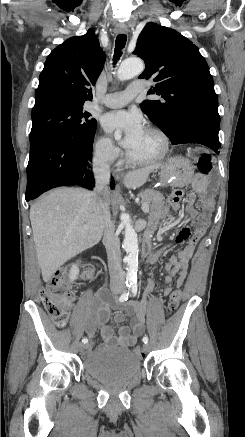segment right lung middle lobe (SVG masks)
<instances>
[{"instance_id": "1", "label": "right lung middle lobe", "mask_w": 245, "mask_h": 437, "mask_svg": "<svg viewBox=\"0 0 245 437\" xmlns=\"http://www.w3.org/2000/svg\"><path fill=\"white\" fill-rule=\"evenodd\" d=\"M83 105L50 102L32 109L30 147L39 140L53 136L69 144L86 143L94 138L97 127Z\"/></svg>"}]
</instances>
